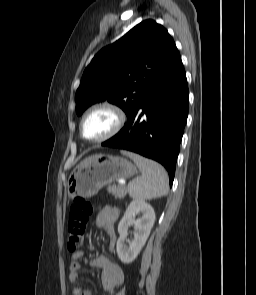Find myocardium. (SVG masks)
Here are the masks:
<instances>
[{"label": "myocardium", "instance_id": "myocardium-1", "mask_svg": "<svg viewBox=\"0 0 256 295\" xmlns=\"http://www.w3.org/2000/svg\"><path fill=\"white\" fill-rule=\"evenodd\" d=\"M100 109H105L108 110L109 112H111L114 116V124L113 127L110 129V131L108 133H106L105 135L99 137V138H95V139H88L85 137L84 132H83V126L85 123V120L87 119V117ZM125 114L124 112L115 104H113L112 102L109 101H102L99 103L94 104L93 106H91L82 116L81 120H80V124H79V131H80V135L82 136V138L90 143H101L104 142L110 138H112L113 136H115L123 127L124 122H125Z\"/></svg>", "mask_w": 256, "mask_h": 295}]
</instances>
